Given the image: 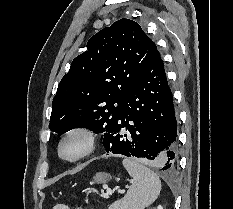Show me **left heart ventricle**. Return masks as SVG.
Masks as SVG:
<instances>
[{"label": "left heart ventricle", "mask_w": 233, "mask_h": 209, "mask_svg": "<svg viewBox=\"0 0 233 209\" xmlns=\"http://www.w3.org/2000/svg\"><path fill=\"white\" fill-rule=\"evenodd\" d=\"M82 148V140L78 137L69 139L64 145L63 152L65 155L72 156L77 154Z\"/></svg>", "instance_id": "b2bd125f"}]
</instances>
